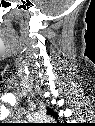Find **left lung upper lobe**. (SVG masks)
Wrapping results in <instances>:
<instances>
[{
  "instance_id": "5c2ea615",
  "label": "left lung upper lobe",
  "mask_w": 95,
  "mask_h": 126,
  "mask_svg": "<svg viewBox=\"0 0 95 126\" xmlns=\"http://www.w3.org/2000/svg\"><path fill=\"white\" fill-rule=\"evenodd\" d=\"M47 113H48L49 115H52V116H54V117H57V114H56L53 110H51L50 108H47Z\"/></svg>"
}]
</instances>
